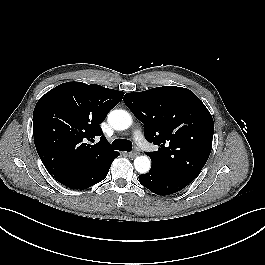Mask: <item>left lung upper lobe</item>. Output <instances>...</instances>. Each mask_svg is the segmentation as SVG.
Returning a JSON list of instances; mask_svg holds the SVG:
<instances>
[{
	"label": "left lung upper lobe",
	"instance_id": "1",
	"mask_svg": "<svg viewBox=\"0 0 265 265\" xmlns=\"http://www.w3.org/2000/svg\"><path fill=\"white\" fill-rule=\"evenodd\" d=\"M124 102L144 123L145 138L159 146L146 153L152 166L191 183L212 149L214 122L203 102L175 86L127 93Z\"/></svg>",
	"mask_w": 265,
	"mask_h": 265
}]
</instances>
